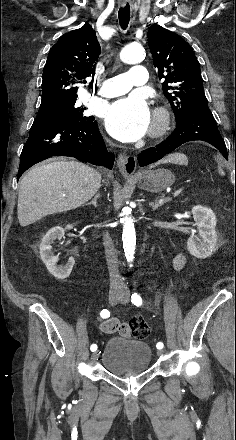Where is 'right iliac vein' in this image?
I'll return each mask as SVG.
<instances>
[{"label":"right iliac vein","mask_w":236,"mask_h":440,"mask_svg":"<svg viewBox=\"0 0 236 440\" xmlns=\"http://www.w3.org/2000/svg\"><path fill=\"white\" fill-rule=\"evenodd\" d=\"M121 293L117 291H110L108 295V300L111 305H115L119 298L121 297ZM98 358V352H94L91 356V359L94 361Z\"/></svg>","instance_id":"1"}]
</instances>
